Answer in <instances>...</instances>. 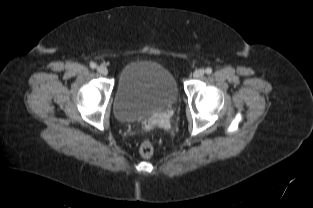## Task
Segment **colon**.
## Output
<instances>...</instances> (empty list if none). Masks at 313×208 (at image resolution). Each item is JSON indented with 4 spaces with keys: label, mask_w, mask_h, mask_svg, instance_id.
<instances>
[{
    "label": "colon",
    "mask_w": 313,
    "mask_h": 208,
    "mask_svg": "<svg viewBox=\"0 0 313 208\" xmlns=\"http://www.w3.org/2000/svg\"><path fill=\"white\" fill-rule=\"evenodd\" d=\"M139 153L143 158H150L154 153V146L153 144L146 140L143 141L139 147Z\"/></svg>",
    "instance_id": "5ec220e1"
}]
</instances>
